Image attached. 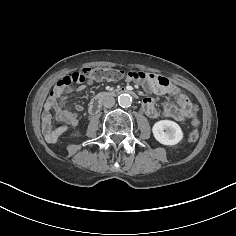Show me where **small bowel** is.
Returning a JSON list of instances; mask_svg holds the SVG:
<instances>
[{
    "label": "small bowel",
    "instance_id": "c3829d8e",
    "mask_svg": "<svg viewBox=\"0 0 236 236\" xmlns=\"http://www.w3.org/2000/svg\"><path fill=\"white\" fill-rule=\"evenodd\" d=\"M131 73L132 72H129V74ZM142 73L144 74L142 80H134L129 75L127 76V80L141 82L147 91L155 95L164 96L170 94L173 96L172 101L164 102L162 111L157 110L155 101L152 98H145L142 106L149 117H165L177 121H184L192 116V103L189 98L180 92L167 77L157 74ZM62 80H60L59 83H61ZM63 88L61 90H55L50 94L44 104V110L41 116L44 137L46 141L51 144L57 143L71 127H75L78 124L77 114L66 108L67 93L63 91ZM84 90V84H79L75 88L76 92H82ZM75 109L77 111H82L83 105L76 104ZM52 112L55 113V120L59 123L56 127L53 126Z\"/></svg>",
    "mask_w": 236,
    "mask_h": 236
}]
</instances>
